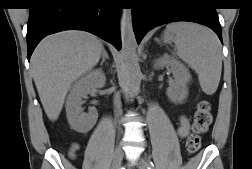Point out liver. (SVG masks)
Returning <instances> with one entry per match:
<instances>
[{
  "instance_id": "liver-1",
  "label": "liver",
  "mask_w": 252,
  "mask_h": 169,
  "mask_svg": "<svg viewBox=\"0 0 252 169\" xmlns=\"http://www.w3.org/2000/svg\"><path fill=\"white\" fill-rule=\"evenodd\" d=\"M103 48L98 37L84 31L50 35L36 47L33 79L50 120H57L72 83L98 64Z\"/></svg>"
}]
</instances>
